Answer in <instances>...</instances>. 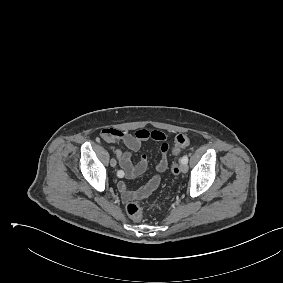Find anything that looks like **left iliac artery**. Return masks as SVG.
I'll return each mask as SVG.
<instances>
[{"label": "left iliac artery", "instance_id": "obj_1", "mask_svg": "<svg viewBox=\"0 0 283 283\" xmlns=\"http://www.w3.org/2000/svg\"><path fill=\"white\" fill-rule=\"evenodd\" d=\"M181 163H183V164H187L188 163V155H185V156L182 157Z\"/></svg>", "mask_w": 283, "mask_h": 283}]
</instances>
